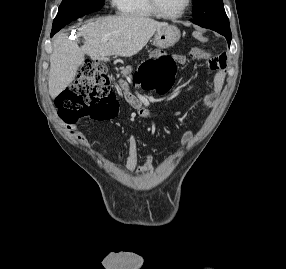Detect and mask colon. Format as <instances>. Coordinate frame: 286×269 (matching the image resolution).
Masks as SVG:
<instances>
[{"instance_id": "5ec220e1", "label": "colon", "mask_w": 286, "mask_h": 269, "mask_svg": "<svg viewBox=\"0 0 286 269\" xmlns=\"http://www.w3.org/2000/svg\"><path fill=\"white\" fill-rule=\"evenodd\" d=\"M151 59L140 68V82L146 89L168 91L174 82L175 60L165 49H152ZM60 119L73 124L83 117L108 120L118 113V102L112 91L106 66L98 61H86L79 70L78 79L57 98Z\"/></svg>"}]
</instances>
